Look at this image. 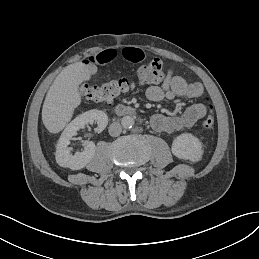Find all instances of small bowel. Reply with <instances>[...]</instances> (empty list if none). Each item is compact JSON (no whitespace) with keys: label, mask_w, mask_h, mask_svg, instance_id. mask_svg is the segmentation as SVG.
Listing matches in <instances>:
<instances>
[{"label":"small bowel","mask_w":259,"mask_h":259,"mask_svg":"<svg viewBox=\"0 0 259 259\" xmlns=\"http://www.w3.org/2000/svg\"><path fill=\"white\" fill-rule=\"evenodd\" d=\"M121 58L131 62H140L146 58V53L132 47L124 48L121 51L107 49L90 56L85 64L94 74L99 66H104ZM146 93L152 101L173 100L178 97L199 99L204 96V89L200 83H188L181 76L175 75L172 70H168L162 84L149 87ZM206 113L207 106L203 103H196L178 115L154 114L150 119V124L157 132L173 134L193 126Z\"/></svg>","instance_id":"small-bowel-1"}]
</instances>
